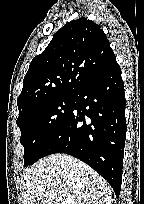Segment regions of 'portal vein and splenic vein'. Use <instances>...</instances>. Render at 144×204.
<instances>
[{"mask_svg": "<svg viewBox=\"0 0 144 204\" xmlns=\"http://www.w3.org/2000/svg\"><path fill=\"white\" fill-rule=\"evenodd\" d=\"M50 195H51V196H55L56 193H55L54 191H52V192L50 193Z\"/></svg>", "mask_w": 144, "mask_h": 204, "instance_id": "1", "label": "portal vein and splenic vein"}]
</instances>
